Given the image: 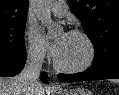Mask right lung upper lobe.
<instances>
[{"label": "right lung upper lobe", "instance_id": "obj_1", "mask_svg": "<svg viewBox=\"0 0 119 95\" xmlns=\"http://www.w3.org/2000/svg\"><path fill=\"white\" fill-rule=\"evenodd\" d=\"M29 0H0V25L26 21Z\"/></svg>", "mask_w": 119, "mask_h": 95}]
</instances>
